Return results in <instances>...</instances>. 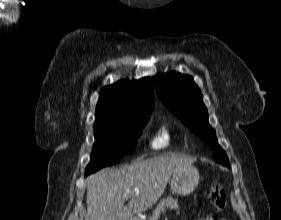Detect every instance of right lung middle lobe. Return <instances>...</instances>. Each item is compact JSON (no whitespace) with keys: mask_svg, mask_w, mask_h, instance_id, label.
I'll return each mask as SVG.
<instances>
[{"mask_svg":"<svg viewBox=\"0 0 281 220\" xmlns=\"http://www.w3.org/2000/svg\"><path fill=\"white\" fill-rule=\"evenodd\" d=\"M149 118L150 115H146L114 123H95V144L85 176L119 162L126 153H132Z\"/></svg>","mask_w":281,"mask_h":220,"instance_id":"obj_1","label":"right lung middle lobe"}]
</instances>
